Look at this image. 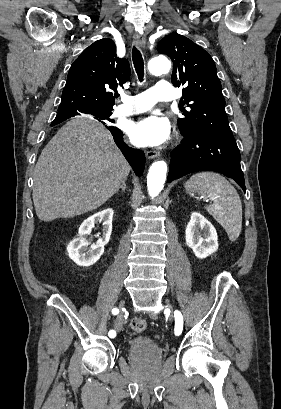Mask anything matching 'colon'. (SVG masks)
Wrapping results in <instances>:
<instances>
[{"label":"colon","instance_id":"colon-1","mask_svg":"<svg viewBox=\"0 0 281 409\" xmlns=\"http://www.w3.org/2000/svg\"><path fill=\"white\" fill-rule=\"evenodd\" d=\"M132 327L135 332L143 333L148 330V323L140 318H136L132 321Z\"/></svg>","mask_w":281,"mask_h":409}]
</instances>
